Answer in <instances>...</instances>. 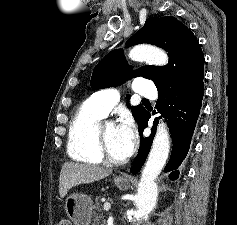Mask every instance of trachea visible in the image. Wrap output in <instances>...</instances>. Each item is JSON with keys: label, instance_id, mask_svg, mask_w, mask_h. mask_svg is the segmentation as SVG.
<instances>
[{"label": "trachea", "instance_id": "3493384b", "mask_svg": "<svg viewBox=\"0 0 237 225\" xmlns=\"http://www.w3.org/2000/svg\"><path fill=\"white\" fill-rule=\"evenodd\" d=\"M142 101L145 103H149V101L147 99H143Z\"/></svg>", "mask_w": 237, "mask_h": 225}]
</instances>
